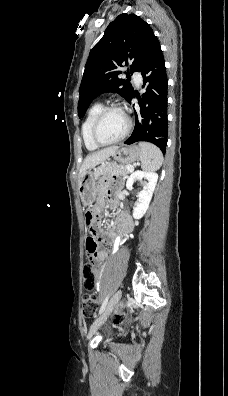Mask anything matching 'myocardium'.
Wrapping results in <instances>:
<instances>
[{
	"instance_id": "obj_1",
	"label": "myocardium",
	"mask_w": 228,
	"mask_h": 396,
	"mask_svg": "<svg viewBox=\"0 0 228 396\" xmlns=\"http://www.w3.org/2000/svg\"><path fill=\"white\" fill-rule=\"evenodd\" d=\"M111 110H120L126 117L127 120V126L125 131L122 133V135H120L118 138L111 140V141H103L99 138L98 135V130H99V125L103 119V117L105 116V114ZM132 119L130 117V115L128 114V112L126 111V109L118 103H112L109 105L104 106L99 113L97 114V116L94 119V122L92 124V128H91V137L92 140L98 145V146H108V145H112L115 143H118L122 140H124L129 133L131 132L132 129Z\"/></svg>"
}]
</instances>
